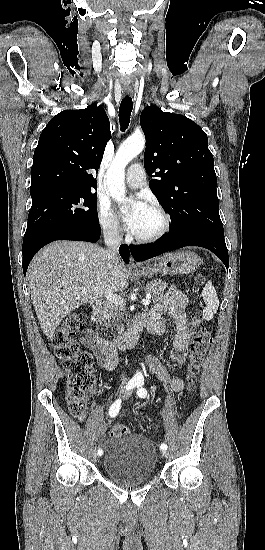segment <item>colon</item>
<instances>
[{
  "instance_id": "obj_1",
  "label": "colon",
  "mask_w": 265,
  "mask_h": 550,
  "mask_svg": "<svg viewBox=\"0 0 265 550\" xmlns=\"http://www.w3.org/2000/svg\"><path fill=\"white\" fill-rule=\"evenodd\" d=\"M196 282L202 284L204 277H198ZM85 329L86 325L80 314L73 311L56 329L52 339L55 355L67 372L66 401L69 411L74 417L81 420L86 416L87 395L95 383L91 354L81 350L73 340L76 333L83 332ZM190 331L192 342L186 373V390L188 392L195 389L196 377L213 341L212 334L206 327L200 312L193 313ZM128 433V427L122 424L114 425L110 430L111 437H122Z\"/></svg>"
}]
</instances>
